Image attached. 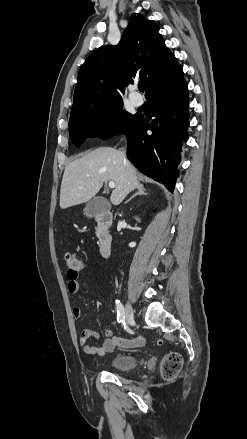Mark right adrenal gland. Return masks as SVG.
I'll return each instance as SVG.
<instances>
[{
  "label": "right adrenal gland",
  "instance_id": "right-adrenal-gland-1",
  "mask_svg": "<svg viewBox=\"0 0 247 439\" xmlns=\"http://www.w3.org/2000/svg\"><path fill=\"white\" fill-rule=\"evenodd\" d=\"M148 193L146 192V189L144 188L143 185H139L137 187V192L129 199L127 200L125 203L130 202L134 197H136L137 195H147Z\"/></svg>",
  "mask_w": 247,
  "mask_h": 439
}]
</instances>
